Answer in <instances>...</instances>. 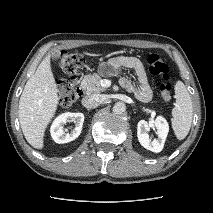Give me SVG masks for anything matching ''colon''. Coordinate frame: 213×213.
<instances>
[{"label":"colon","instance_id":"obj_1","mask_svg":"<svg viewBox=\"0 0 213 213\" xmlns=\"http://www.w3.org/2000/svg\"><path fill=\"white\" fill-rule=\"evenodd\" d=\"M150 73L160 79L159 91L164 100L171 98L172 86L169 81V68L166 60L157 54H152L147 59ZM85 66V59L77 53L64 52L59 60L60 69L69 75L68 80L61 81L58 85L59 104L63 107L70 106L82 95L77 84L78 74Z\"/></svg>","mask_w":213,"mask_h":213}]
</instances>
